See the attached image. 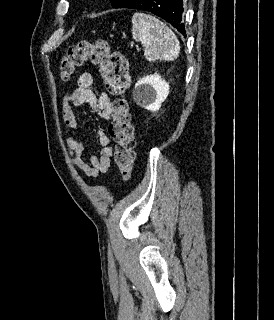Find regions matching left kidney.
Returning <instances> with one entry per match:
<instances>
[{
  "label": "left kidney",
  "mask_w": 274,
  "mask_h": 320,
  "mask_svg": "<svg viewBox=\"0 0 274 320\" xmlns=\"http://www.w3.org/2000/svg\"><path fill=\"white\" fill-rule=\"evenodd\" d=\"M170 86L159 74L145 76L134 86L133 98L145 110L158 112L169 94Z\"/></svg>",
  "instance_id": "left-kidney-1"
}]
</instances>
